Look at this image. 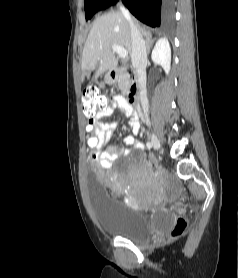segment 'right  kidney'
<instances>
[{
    "label": "right kidney",
    "mask_w": 238,
    "mask_h": 278,
    "mask_svg": "<svg viewBox=\"0 0 238 278\" xmlns=\"http://www.w3.org/2000/svg\"><path fill=\"white\" fill-rule=\"evenodd\" d=\"M151 58L155 64L162 66L166 74L169 73L171 64V48L166 38L158 40L152 51Z\"/></svg>",
    "instance_id": "right-kidney-1"
}]
</instances>
